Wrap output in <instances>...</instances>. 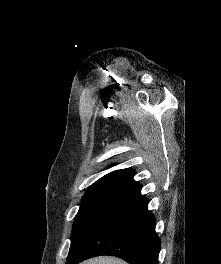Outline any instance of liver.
Returning a JSON list of instances; mask_svg holds the SVG:
<instances>
[{"label": "liver", "mask_w": 221, "mask_h": 264, "mask_svg": "<svg viewBox=\"0 0 221 264\" xmlns=\"http://www.w3.org/2000/svg\"><path fill=\"white\" fill-rule=\"evenodd\" d=\"M81 264H127V263L118 258L103 256V257H97L84 261Z\"/></svg>", "instance_id": "6515ba94"}]
</instances>
